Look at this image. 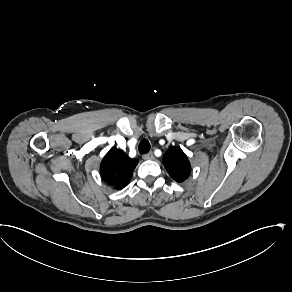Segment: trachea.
I'll use <instances>...</instances> for the list:
<instances>
[{"mask_svg":"<svg viewBox=\"0 0 292 292\" xmlns=\"http://www.w3.org/2000/svg\"><path fill=\"white\" fill-rule=\"evenodd\" d=\"M151 145L147 139H142L139 143L138 150L140 154H146L150 151Z\"/></svg>","mask_w":292,"mask_h":292,"instance_id":"3493384b","label":"trachea"}]
</instances>
